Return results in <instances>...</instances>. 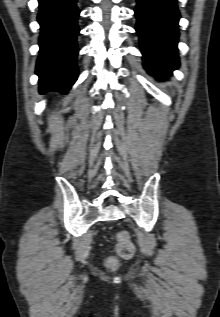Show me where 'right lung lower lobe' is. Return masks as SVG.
<instances>
[{
	"label": "right lung lower lobe",
	"mask_w": 220,
	"mask_h": 317,
	"mask_svg": "<svg viewBox=\"0 0 220 317\" xmlns=\"http://www.w3.org/2000/svg\"><path fill=\"white\" fill-rule=\"evenodd\" d=\"M38 1L41 35L36 74L39 76V90L42 93L47 91L67 93L78 77L77 0Z\"/></svg>",
	"instance_id": "obj_1"
}]
</instances>
